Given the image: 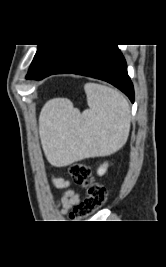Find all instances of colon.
<instances>
[{
    "mask_svg": "<svg viewBox=\"0 0 166 267\" xmlns=\"http://www.w3.org/2000/svg\"><path fill=\"white\" fill-rule=\"evenodd\" d=\"M69 173L73 182L83 187L86 192L84 200L73 208L69 218L83 220L105 204L107 191L104 185L96 182L90 167L85 164H73Z\"/></svg>",
    "mask_w": 166,
    "mask_h": 267,
    "instance_id": "obj_1",
    "label": "colon"
}]
</instances>
